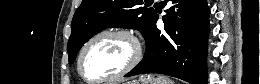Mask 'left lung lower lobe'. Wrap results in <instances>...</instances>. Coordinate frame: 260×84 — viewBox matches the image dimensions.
Instances as JSON below:
<instances>
[{
    "label": "left lung lower lobe",
    "instance_id": "left-lung-lower-lobe-1",
    "mask_svg": "<svg viewBox=\"0 0 260 84\" xmlns=\"http://www.w3.org/2000/svg\"><path fill=\"white\" fill-rule=\"evenodd\" d=\"M163 16L165 31L151 24L142 61L125 77L161 73L191 84H206L207 39L210 10L206 0H171ZM165 4L167 1L164 2Z\"/></svg>",
    "mask_w": 260,
    "mask_h": 84
}]
</instances>
